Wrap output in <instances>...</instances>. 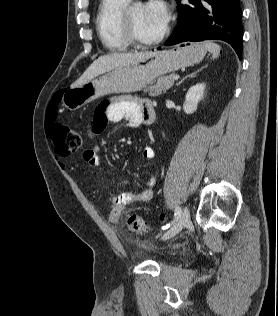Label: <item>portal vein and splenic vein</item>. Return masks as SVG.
I'll return each instance as SVG.
<instances>
[{"label": "portal vein and splenic vein", "instance_id": "obj_1", "mask_svg": "<svg viewBox=\"0 0 278 316\" xmlns=\"http://www.w3.org/2000/svg\"><path fill=\"white\" fill-rule=\"evenodd\" d=\"M179 79V75H175L174 77H173V80H178Z\"/></svg>", "mask_w": 278, "mask_h": 316}]
</instances>
